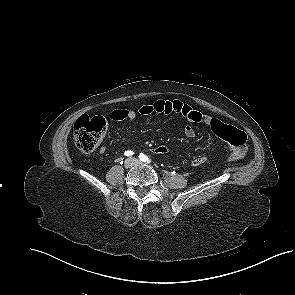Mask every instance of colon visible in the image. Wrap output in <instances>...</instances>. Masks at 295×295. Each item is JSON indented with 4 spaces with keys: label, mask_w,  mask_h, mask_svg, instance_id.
Wrapping results in <instances>:
<instances>
[{
    "label": "colon",
    "mask_w": 295,
    "mask_h": 295,
    "mask_svg": "<svg viewBox=\"0 0 295 295\" xmlns=\"http://www.w3.org/2000/svg\"><path fill=\"white\" fill-rule=\"evenodd\" d=\"M106 130V120L102 116L82 115L74 124V140L77 148L82 153L93 152L100 144ZM219 137L231 146L229 158L242 161L247 156L246 135L243 131L223 123L216 124ZM158 154L168 151L165 146H158L154 150Z\"/></svg>",
    "instance_id": "5ec220e1"
}]
</instances>
